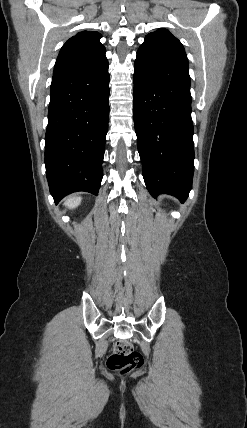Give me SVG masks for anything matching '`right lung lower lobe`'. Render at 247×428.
Segmentation results:
<instances>
[{"label":"right lung lower lobe","mask_w":247,"mask_h":428,"mask_svg":"<svg viewBox=\"0 0 247 428\" xmlns=\"http://www.w3.org/2000/svg\"><path fill=\"white\" fill-rule=\"evenodd\" d=\"M108 65L104 56L52 78L45 165L56 204L76 191L98 194L108 130Z\"/></svg>","instance_id":"right-lung-lower-lobe-1"}]
</instances>
